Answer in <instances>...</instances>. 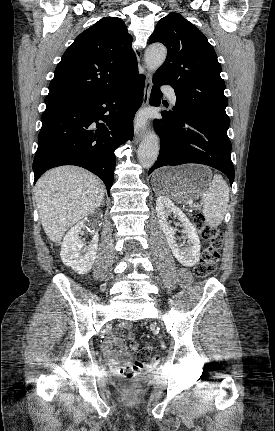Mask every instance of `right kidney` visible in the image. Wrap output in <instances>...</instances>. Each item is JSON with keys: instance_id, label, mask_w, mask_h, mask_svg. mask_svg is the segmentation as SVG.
Returning <instances> with one entry per match:
<instances>
[{"instance_id": "ca27d5eb", "label": "right kidney", "mask_w": 275, "mask_h": 431, "mask_svg": "<svg viewBox=\"0 0 275 431\" xmlns=\"http://www.w3.org/2000/svg\"><path fill=\"white\" fill-rule=\"evenodd\" d=\"M86 227V221L82 220L73 226L65 235L60 256L66 266H70L78 274H86L92 268L98 249V233L95 232L87 247L79 237V232Z\"/></svg>"}]
</instances>
